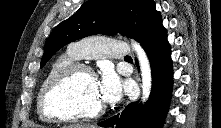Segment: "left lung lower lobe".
Here are the masks:
<instances>
[{
	"instance_id": "left-lung-lower-lobe-1",
	"label": "left lung lower lobe",
	"mask_w": 221,
	"mask_h": 128,
	"mask_svg": "<svg viewBox=\"0 0 221 128\" xmlns=\"http://www.w3.org/2000/svg\"><path fill=\"white\" fill-rule=\"evenodd\" d=\"M167 32L160 19L141 44L151 64L153 83L150 98L144 106L133 102L120 116H114L98 125L115 128H162L172 92V61ZM138 66V63L136 62Z\"/></svg>"
}]
</instances>
